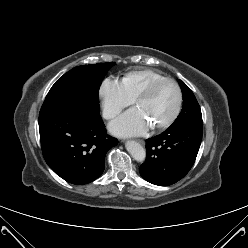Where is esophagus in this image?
Returning a JSON list of instances; mask_svg holds the SVG:
<instances>
[{"label":"esophagus","instance_id":"34e87169","mask_svg":"<svg viewBox=\"0 0 248 248\" xmlns=\"http://www.w3.org/2000/svg\"><path fill=\"white\" fill-rule=\"evenodd\" d=\"M137 142H139L140 144H144V141L142 139H137Z\"/></svg>","mask_w":248,"mask_h":248}]
</instances>
